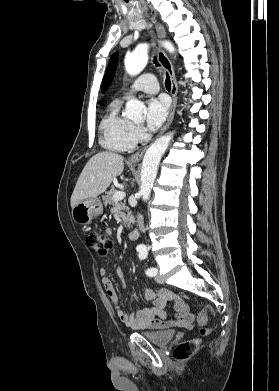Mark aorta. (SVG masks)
I'll return each mask as SVG.
<instances>
[{
	"label": "aorta",
	"mask_w": 279,
	"mask_h": 391,
	"mask_svg": "<svg viewBox=\"0 0 279 391\" xmlns=\"http://www.w3.org/2000/svg\"><path fill=\"white\" fill-rule=\"evenodd\" d=\"M163 46L169 52H175L172 43L164 42ZM148 44L138 45L131 53L127 54L124 60L125 70L131 76L138 75L146 66L148 61ZM144 109V104L137 99H131L126 103L125 114L130 119H140ZM173 133H168L159 137L147 149L141 169V186L139 194L143 201L150 197L153 183L157 176L159 162L169 146Z\"/></svg>",
	"instance_id": "obj_1"
}]
</instances>
